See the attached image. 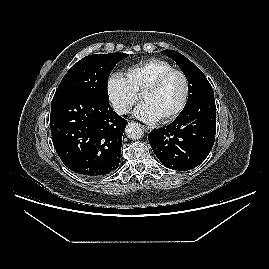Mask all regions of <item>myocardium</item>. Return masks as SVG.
<instances>
[{"mask_svg":"<svg viewBox=\"0 0 269 269\" xmlns=\"http://www.w3.org/2000/svg\"><path fill=\"white\" fill-rule=\"evenodd\" d=\"M174 74H179L184 80V84H185L184 97H183L180 105L174 111H172L171 113H169L165 117L159 119V121L161 123H167V122L175 119L186 108V106L188 104V101H189V98H190V93H191V84H190V80H189L187 74L184 71L180 70V69H171V70L166 71V72L162 73L161 75H159L150 84H148L141 92V98H142L147 93H152V92L157 91L163 85V83L170 76H172Z\"/></svg>","mask_w":269,"mask_h":269,"instance_id":"obj_1","label":"myocardium"}]
</instances>
